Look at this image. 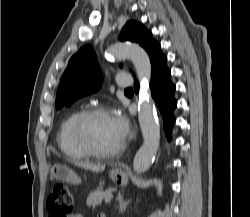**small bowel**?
<instances>
[{
	"instance_id": "1",
	"label": "small bowel",
	"mask_w": 250,
	"mask_h": 217,
	"mask_svg": "<svg viewBox=\"0 0 250 217\" xmlns=\"http://www.w3.org/2000/svg\"><path fill=\"white\" fill-rule=\"evenodd\" d=\"M70 217H82L80 214H72Z\"/></svg>"
}]
</instances>
